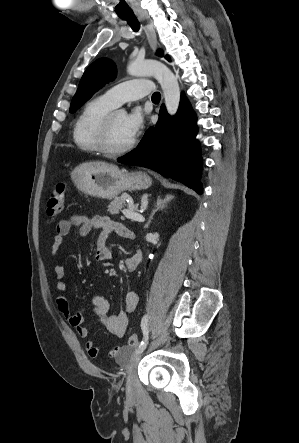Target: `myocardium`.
Segmentation results:
<instances>
[{
	"instance_id": "1",
	"label": "myocardium",
	"mask_w": 299,
	"mask_h": 443,
	"mask_svg": "<svg viewBox=\"0 0 299 443\" xmlns=\"http://www.w3.org/2000/svg\"><path fill=\"white\" fill-rule=\"evenodd\" d=\"M118 111L112 110L105 115L103 118L98 132V147L100 152L110 157L121 156L129 151H131L137 143L136 138H133L130 143L122 148H112L110 145V136L112 131V125L114 116Z\"/></svg>"
}]
</instances>
